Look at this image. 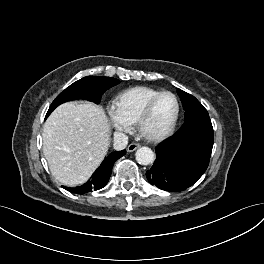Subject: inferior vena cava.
Wrapping results in <instances>:
<instances>
[{"instance_id": "602c4592", "label": "inferior vena cava", "mask_w": 264, "mask_h": 264, "mask_svg": "<svg viewBox=\"0 0 264 264\" xmlns=\"http://www.w3.org/2000/svg\"><path fill=\"white\" fill-rule=\"evenodd\" d=\"M128 144V136L121 132L114 133L113 147L115 150H123Z\"/></svg>"}]
</instances>
